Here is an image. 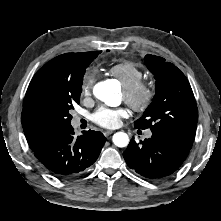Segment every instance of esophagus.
Returning a JSON list of instances; mask_svg holds the SVG:
<instances>
[{
    "instance_id": "esophagus-1",
    "label": "esophagus",
    "mask_w": 221,
    "mask_h": 221,
    "mask_svg": "<svg viewBox=\"0 0 221 221\" xmlns=\"http://www.w3.org/2000/svg\"><path fill=\"white\" fill-rule=\"evenodd\" d=\"M112 133H113V131H110V130L104 131V135H105L106 137H108V136L111 135Z\"/></svg>"
}]
</instances>
